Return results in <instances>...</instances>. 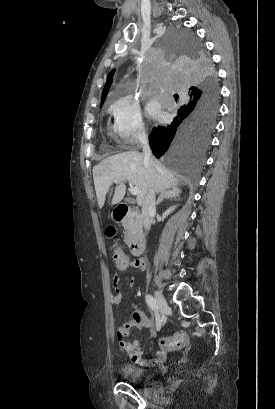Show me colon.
Instances as JSON below:
<instances>
[{
	"mask_svg": "<svg viewBox=\"0 0 275 409\" xmlns=\"http://www.w3.org/2000/svg\"><path fill=\"white\" fill-rule=\"evenodd\" d=\"M113 234V229L110 230L109 235ZM115 252L120 255L115 258V263L119 270H126L129 263V258L121 256L120 247H115ZM161 347L167 350H175L181 348H190V339L185 331H178L173 336L165 337L161 341Z\"/></svg>",
	"mask_w": 275,
	"mask_h": 409,
	"instance_id": "colon-1",
	"label": "colon"
}]
</instances>
